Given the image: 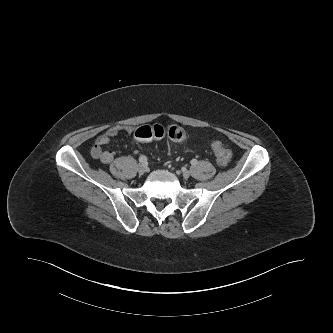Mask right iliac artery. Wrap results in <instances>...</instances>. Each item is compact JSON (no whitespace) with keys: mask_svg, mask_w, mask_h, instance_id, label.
Returning <instances> with one entry per match:
<instances>
[{"mask_svg":"<svg viewBox=\"0 0 333 333\" xmlns=\"http://www.w3.org/2000/svg\"><path fill=\"white\" fill-rule=\"evenodd\" d=\"M139 162H141V163H147V157L146 156H140L139 157Z\"/></svg>","mask_w":333,"mask_h":333,"instance_id":"obj_1","label":"right iliac artery"}]
</instances>
